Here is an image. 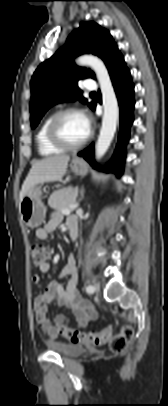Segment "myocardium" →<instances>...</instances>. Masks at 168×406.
I'll list each match as a JSON object with an SVG mask.
<instances>
[{"instance_id": "myocardium-1", "label": "myocardium", "mask_w": 168, "mask_h": 406, "mask_svg": "<svg viewBox=\"0 0 168 406\" xmlns=\"http://www.w3.org/2000/svg\"><path fill=\"white\" fill-rule=\"evenodd\" d=\"M71 113H77V114H81L83 115V112L75 107H68V108H64L58 112H56L49 124H48V128H47V137L48 140L55 146L61 148V149H68V150H72V149H77L82 147L90 138L91 133L89 132L88 135L81 141L76 142V143H69L66 142L60 135L58 127H59V123L61 121V119Z\"/></svg>"}]
</instances>
